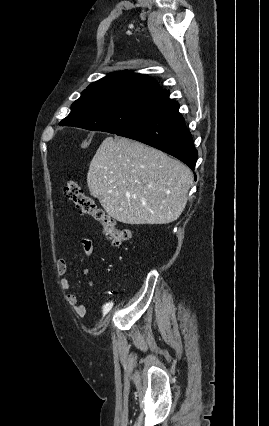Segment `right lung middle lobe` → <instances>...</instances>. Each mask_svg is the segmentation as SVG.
<instances>
[{
    "label": "right lung middle lobe",
    "mask_w": 269,
    "mask_h": 426,
    "mask_svg": "<svg viewBox=\"0 0 269 426\" xmlns=\"http://www.w3.org/2000/svg\"><path fill=\"white\" fill-rule=\"evenodd\" d=\"M162 95L161 92L143 91L81 95L72 104L71 113L59 125L116 134L142 120Z\"/></svg>",
    "instance_id": "1"
}]
</instances>
